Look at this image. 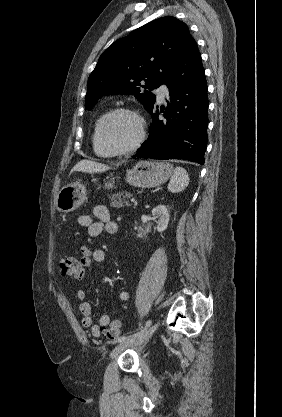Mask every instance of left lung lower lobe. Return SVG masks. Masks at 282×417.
Wrapping results in <instances>:
<instances>
[{"label": "left lung lower lobe", "instance_id": "0a47b994", "mask_svg": "<svg viewBox=\"0 0 282 417\" xmlns=\"http://www.w3.org/2000/svg\"><path fill=\"white\" fill-rule=\"evenodd\" d=\"M169 89L166 108L154 105L149 138L133 158L184 159L204 164L208 136L205 72L195 40L173 63L163 82ZM164 120L159 112H164Z\"/></svg>", "mask_w": 282, "mask_h": 417}]
</instances>
